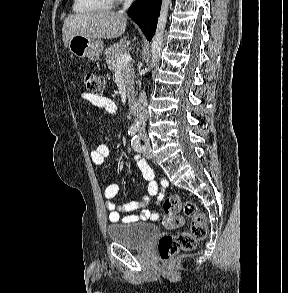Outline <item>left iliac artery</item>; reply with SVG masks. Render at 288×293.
Returning a JSON list of instances; mask_svg holds the SVG:
<instances>
[{
    "label": "left iliac artery",
    "instance_id": "obj_1",
    "mask_svg": "<svg viewBox=\"0 0 288 293\" xmlns=\"http://www.w3.org/2000/svg\"><path fill=\"white\" fill-rule=\"evenodd\" d=\"M131 145L137 152H143L145 151V147L140 143V137L138 135H135L131 140Z\"/></svg>",
    "mask_w": 288,
    "mask_h": 293
}]
</instances>
